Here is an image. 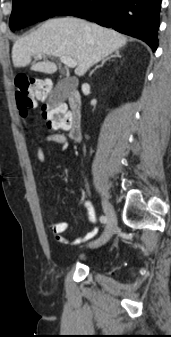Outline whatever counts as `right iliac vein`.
Listing matches in <instances>:
<instances>
[{"label":"right iliac vein","instance_id":"right-iliac-vein-1","mask_svg":"<svg viewBox=\"0 0 171 337\" xmlns=\"http://www.w3.org/2000/svg\"><path fill=\"white\" fill-rule=\"evenodd\" d=\"M102 206L104 213L107 217L106 228L102 236L92 243L93 246H100L108 242L115 233L117 228V218L112 205L107 200H103Z\"/></svg>","mask_w":171,"mask_h":337}]
</instances>
